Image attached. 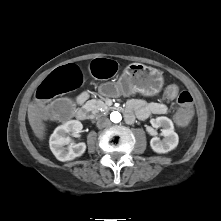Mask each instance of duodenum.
<instances>
[{
	"mask_svg": "<svg viewBox=\"0 0 221 221\" xmlns=\"http://www.w3.org/2000/svg\"><path fill=\"white\" fill-rule=\"evenodd\" d=\"M75 115H76V118L80 121H85L88 117L87 111L84 109H78ZM125 117L128 122H132L134 118L133 114L129 112L128 110H126Z\"/></svg>",
	"mask_w": 221,
	"mask_h": 221,
	"instance_id": "410a0bca",
	"label": "duodenum"
}]
</instances>
